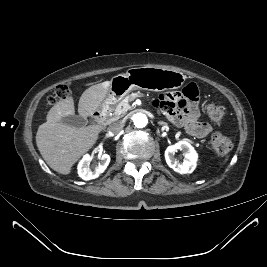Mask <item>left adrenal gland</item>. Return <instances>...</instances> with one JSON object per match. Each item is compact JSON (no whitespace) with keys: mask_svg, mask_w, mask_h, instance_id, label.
<instances>
[{"mask_svg":"<svg viewBox=\"0 0 267 267\" xmlns=\"http://www.w3.org/2000/svg\"><path fill=\"white\" fill-rule=\"evenodd\" d=\"M158 125L162 126V125H166V123L163 122V121H159V122H158Z\"/></svg>","mask_w":267,"mask_h":267,"instance_id":"a2214340","label":"left adrenal gland"}]
</instances>
